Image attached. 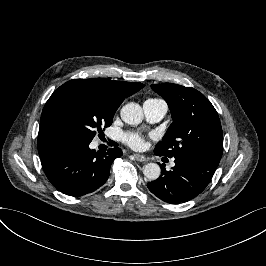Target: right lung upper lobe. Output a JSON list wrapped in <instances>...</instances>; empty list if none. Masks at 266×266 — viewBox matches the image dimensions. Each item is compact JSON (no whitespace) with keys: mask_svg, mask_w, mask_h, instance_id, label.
<instances>
[{"mask_svg":"<svg viewBox=\"0 0 266 266\" xmlns=\"http://www.w3.org/2000/svg\"><path fill=\"white\" fill-rule=\"evenodd\" d=\"M89 80H94L105 84L112 93V95L115 96L116 98L121 99L122 102L126 97L131 96L132 94H134L135 92L139 91L141 88L144 87V84L139 82L132 83V82L114 81L105 78L89 79ZM57 142L58 141L50 131L45 116L42 114L40 120L39 135H38V152L40 157H42L46 153V151Z\"/></svg>","mask_w":266,"mask_h":266,"instance_id":"right-lung-upper-lobe-1","label":"right lung upper lobe"}]
</instances>
